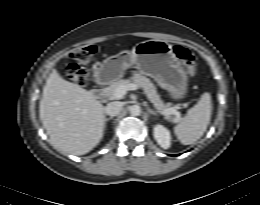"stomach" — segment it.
<instances>
[{"instance_id": "0dacf381", "label": "stomach", "mask_w": 260, "mask_h": 205, "mask_svg": "<svg viewBox=\"0 0 260 205\" xmlns=\"http://www.w3.org/2000/svg\"><path fill=\"white\" fill-rule=\"evenodd\" d=\"M134 65L142 74L152 77L171 98L183 99L188 92V76L173 52L172 45L164 40H147L138 43L132 51H122L100 65L96 80L100 84L114 82Z\"/></svg>"}]
</instances>
